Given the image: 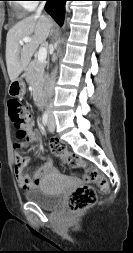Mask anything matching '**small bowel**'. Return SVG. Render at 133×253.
<instances>
[{
    "label": "small bowel",
    "mask_w": 133,
    "mask_h": 253,
    "mask_svg": "<svg viewBox=\"0 0 133 253\" xmlns=\"http://www.w3.org/2000/svg\"><path fill=\"white\" fill-rule=\"evenodd\" d=\"M39 140L40 134L35 130H31L23 142H17L13 146L15 150V178L19 187L25 190L38 187L42 184L44 175L55 172V167L52 164L51 158L46 157L45 163L35 171L33 176H29L25 173V168L30 160L28 157L22 156L19 151L27 148L32 143L38 142Z\"/></svg>",
    "instance_id": "small-bowel-1"
}]
</instances>
